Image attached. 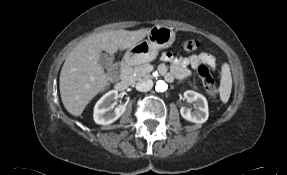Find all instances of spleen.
Segmentation results:
<instances>
[{"label": "spleen", "mask_w": 287, "mask_h": 175, "mask_svg": "<svg viewBox=\"0 0 287 175\" xmlns=\"http://www.w3.org/2000/svg\"><path fill=\"white\" fill-rule=\"evenodd\" d=\"M232 89V77L230 67L224 63L221 68V80L219 86L220 99L223 103H227Z\"/></svg>", "instance_id": "3e777b00"}]
</instances>
